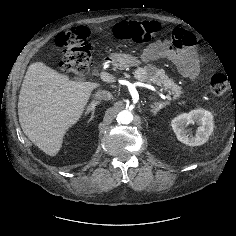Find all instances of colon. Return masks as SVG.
I'll return each mask as SVG.
<instances>
[{
  "label": "colon",
  "mask_w": 236,
  "mask_h": 236,
  "mask_svg": "<svg viewBox=\"0 0 236 236\" xmlns=\"http://www.w3.org/2000/svg\"><path fill=\"white\" fill-rule=\"evenodd\" d=\"M160 30L156 21H123L115 26V36L124 41L137 44L155 40ZM89 30L85 26H76L61 32L56 43L64 50L61 68L64 72L81 76L90 69L91 50ZM228 88V81L223 74H214L210 78V91L213 95H222Z\"/></svg>",
  "instance_id": "obj_1"
}]
</instances>
